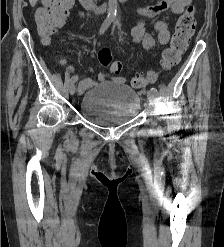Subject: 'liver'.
<instances>
[{"mask_svg":"<svg viewBox=\"0 0 224 247\" xmlns=\"http://www.w3.org/2000/svg\"><path fill=\"white\" fill-rule=\"evenodd\" d=\"M30 2V6H32V8H34L36 2H38V0H29Z\"/></svg>","mask_w":224,"mask_h":247,"instance_id":"1","label":"liver"}]
</instances>
